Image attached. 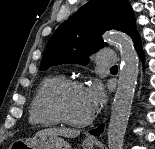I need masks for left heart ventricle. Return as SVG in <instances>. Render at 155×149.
I'll return each mask as SVG.
<instances>
[{
  "label": "left heart ventricle",
  "instance_id": "obj_1",
  "mask_svg": "<svg viewBox=\"0 0 155 149\" xmlns=\"http://www.w3.org/2000/svg\"><path fill=\"white\" fill-rule=\"evenodd\" d=\"M63 107L74 120H85L92 115L85 96L84 88H71L63 96Z\"/></svg>",
  "mask_w": 155,
  "mask_h": 149
}]
</instances>
